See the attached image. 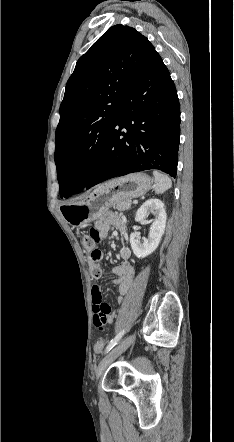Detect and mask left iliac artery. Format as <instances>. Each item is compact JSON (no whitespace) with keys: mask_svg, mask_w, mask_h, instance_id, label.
I'll list each match as a JSON object with an SVG mask.
<instances>
[{"mask_svg":"<svg viewBox=\"0 0 234 442\" xmlns=\"http://www.w3.org/2000/svg\"><path fill=\"white\" fill-rule=\"evenodd\" d=\"M124 333H125V330H122L110 341V343L106 347L105 353L109 352L120 341V339L122 338Z\"/></svg>","mask_w":234,"mask_h":442,"instance_id":"44dca946","label":"left iliac artery"}]
</instances>
